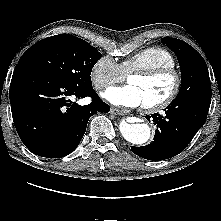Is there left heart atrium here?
<instances>
[{
  "label": "left heart atrium",
  "mask_w": 221,
  "mask_h": 221,
  "mask_svg": "<svg viewBox=\"0 0 221 221\" xmlns=\"http://www.w3.org/2000/svg\"><path fill=\"white\" fill-rule=\"evenodd\" d=\"M103 97L119 106L138 107L143 105L138 89L132 84L109 88L103 93Z\"/></svg>",
  "instance_id": "1"
}]
</instances>
